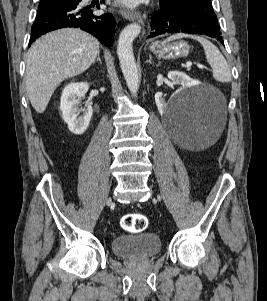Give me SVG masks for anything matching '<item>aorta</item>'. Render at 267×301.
Returning a JSON list of instances; mask_svg holds the SVG:
<instances>
[{
  "label": "aorta",
  "mask_w": 267,
  "mask_h": 301,
  "mask_svg": "<svg viewBox=\"0 0 267 301\" xmlns=\"http://www.w3.org/2000/svg\"><path fill=\"white\" fill-rule=\"evenodd\" d=\"M141 26L138 23H132L126 26L120 33L117 54L120 66L129 91L135 95L138 91L139 77L138 70L133 54L132 43L140 34Z\"/></svg>",
  "instance_id": "aorta-1"
}]
</instances>
